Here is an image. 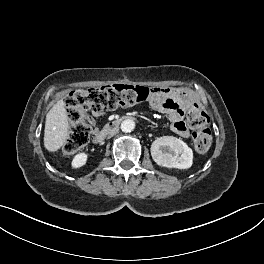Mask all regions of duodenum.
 Instances as JSON below:
<instances>
[{"label": "duodenum", "instance_id": "410a0bca", "mask_svg": "<svg viewBox=\"0 0 264 264\" xmlns=\"http://www.w3.org/2000/svg\"><path fill=\"white\" fill-rule=\"evenodd\" d=\"M127 119H130V117L128 116H124L122 118H116V119H113L111 121H109L104 127L102 130L100 131H97L95 134H94V140L95 142L97 143H101L107 136L110 132H113V130H115V128H118L120 126V124L127 120Z\"/></svg>", "mask_w": 264, "mask_h": 264}]
</instances>
